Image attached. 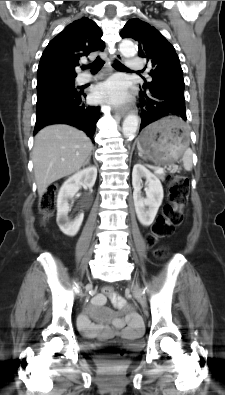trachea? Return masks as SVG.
I'll return each mask as SVG.
<instances>
[{
  "instance_id": "trachea-1",
  "label": "trachea",
  "mask_w": 225,
  "mask_h": 395,
  "mask_svg": "<svg viewBox=\"0 0 225 395\" xmlns=\"http://www.w3.org/2000/svg\"><path fill=\"white\" fill-rule=\"evenodd\" d=\"M103 64H104V62L99 57H97L96 60L92 64H90L88 66H83V69L90 68L92 72H97L102 68ZM114 67L117 70H128V68L125 67L118 60L115 61Z\"/></svg>"
}]
</instances>
